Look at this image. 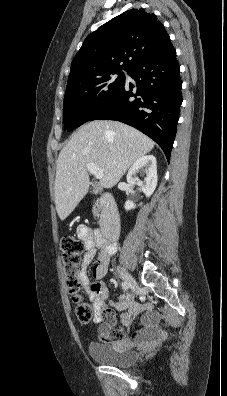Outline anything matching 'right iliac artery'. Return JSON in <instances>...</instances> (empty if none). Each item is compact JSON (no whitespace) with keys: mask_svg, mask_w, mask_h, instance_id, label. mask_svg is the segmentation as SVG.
I'll use <instances>...</instances> for the list:
<instances>
[{"mask_svg":"<svg viewBox=\"0 0 227 396\" xmlns=\"http://www.w3.org/2000/svg\"><path fill=\"white\" fill-rule=\"evenodd\" d=\"M121 286L125 291L129 289V285L126 282H122Z\"/></svg>","mask_w":227,"mask_h":396,"instance_id":"obj_1","label":"right iliac artery"}]
</instances>
